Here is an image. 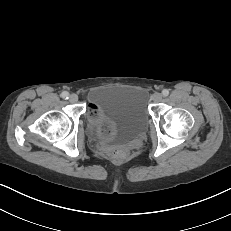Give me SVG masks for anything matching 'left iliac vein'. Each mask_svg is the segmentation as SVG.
<instances>
[{
  "label": "left iliac vein",
  "mask_w": 231,
  "mask_h": 231,
  "mask_svg": "<svg viewBox=\"0 0 231 231\" xmlns=\"http://www.w3.org/2000/svg\"><path fill=\"white\" fill-rule=\"evenodd\" d=\"M152 100L156 103H159L162 100V94L158 92L154 93L152 95Z\"/></svg>",
  "instance_id": "1"
}]
</instances>
